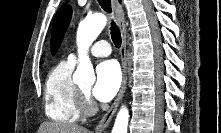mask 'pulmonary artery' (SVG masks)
<instances>
[{"mask_svg":"<svg viewBox=\"0 0 221 133\" xmlns=\"http://www.w3.org/2000/svg\"><path fill=\"white\" fill-rule=\"evenodd\" d=\"M90 52L95 57H107L111 53V46L107 41H99L91 48ZM68 60L75 63L77 57L75 54H70Z\"/></svg>","mask_w":221,"mask_h":133,"instance_id":"obj_1","label":"pulmonary artery"}]
</instances>
